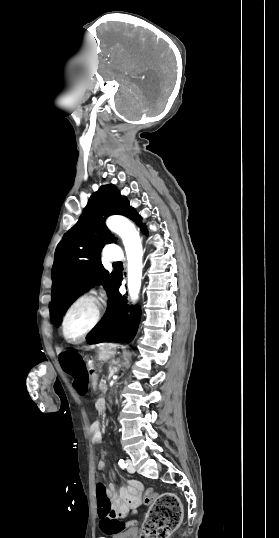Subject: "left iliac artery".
<instances>
[{"label": "left iliac artery", "instance_id": "1", "mask_svg": "<svg viewBox=\"0 0 279 538\" xmlns=\"http://www.w3.org/2000/svg\"><path fill=\"white\" fill-rule=\"evenodd\" d=\"M118 464L122 469L127 467V463L123 459H120Z\"/></svg>", "mask_w": 279, "mask_h": 538}]
</instances>
